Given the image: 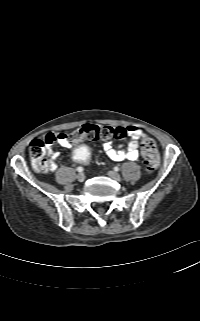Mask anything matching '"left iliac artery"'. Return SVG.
<instances>
[{
    "label": "left iliac artery",
    "mask_w": 200,
    "mask_h": 321,
    "mask_svg": "<svg viewBox=\"0 0 200 321\" xmlns=\"http://www.w3.org/2000/svg\"><path fill=\"white\" fill-rule=\"evenodd\" d=\"M114 170H115V171H119V167H117V166L114 167Z\"/></svg>",
    "instance_id": "1"
}]
</instances>
